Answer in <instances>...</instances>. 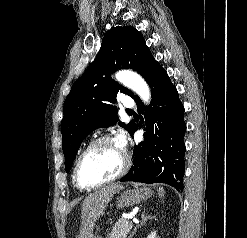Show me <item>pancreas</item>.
Segmentation results:
<instances>
[{
  "label": "pancreas",
  "mask_w": 247,
  "mask_h": 238,
  "mask_svg": "<svg viewBox=\"0 0 247 238\" xmlns=\"http://www.w3.org/2000/svg\"><path fill=\"white\" fill-rule=\"evenodd\" d=\"M132 227L130 221L121 218L115 223L109 238H126Z\"/></svg>",
  "instance_id": "pancreas-1"
}]
</instances>
